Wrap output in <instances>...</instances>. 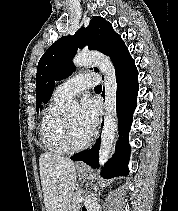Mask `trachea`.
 <instances>
[{"label": "trachea", "mask_w": 178, "mask_h": 211, "mask_svg": "<svg viewBox=\"0 0 178 211\" xmlns=\"http://www.w3.org/2000/svg\"><path fill=\"white\" fill-rule=\"evenodd\" d=\"M102 89V86L101 85H98L95 87V90H101Z\"/></svg>", "instance_id": "3493384b"}]
</instances>
